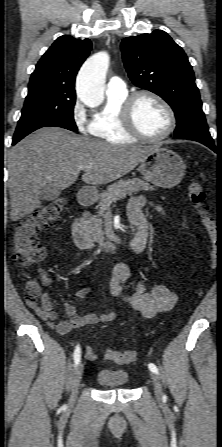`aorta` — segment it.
I'll return each mask as SVG.
<instances>
[{"instance_id":"1","label":"aorta","mask_w":222,"mask_h":447,"mask_svg":"<svg viewBox=\"0 0 222 447\" xmlns=\"http://www.w3.org/2000/svg\"><path fill=\"white\" fill-rule=\"evenodd\" d=\"M109 61L107 52H98L87 59L78 73L77 96L82 103L91 108L100 106L104 101V81Z\"/></svg>"}]
</instances>
